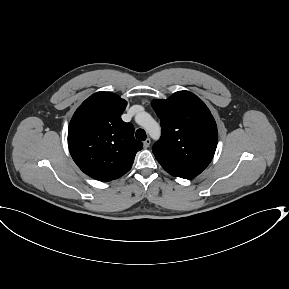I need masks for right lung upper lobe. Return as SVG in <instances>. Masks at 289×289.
I'll use <instances>...</instances> for the list:
<instances>
[{
	"label": "right lung upper lobe",
	"mask_w": 289,
	"mask_h": 289,
	"mask_svg": "<svg viewBox=\"0 0 289 289\" xmlns=\"http://www.w3.org/2000/svg\"><path fill=\"white\" fill-rule=\"evenodd\" d=\"M127 105L111 92H97L74 113L68 128L70 154L78 167L99 181L118 179L132 167L142 142L121 115Z\"/></svg>",
	"instance_id": "obj_1"
}]
</instances>
